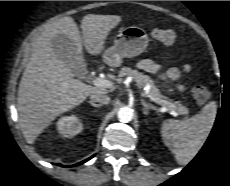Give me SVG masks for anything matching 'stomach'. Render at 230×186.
I'll return each instance as SVG.
<instances>
[{
    "instance_id": "0dacf381",
    "label": "stomach",
    "mask_w": 230,
    "mask_h": 186,
    "mask_svg": "<svg viewBox=\"0 0 230 186\" xmlns=\"http://www.w3.org/2000/svg\"><path fill=\"white\" fill-rule=\"evenodd\" d=\"M146 32L137 26L123 29L114 40V45L103 53V61L112 67L122 63L123 58H132L140 55L148 46Z\"/></svg>"
}]
</instances>
